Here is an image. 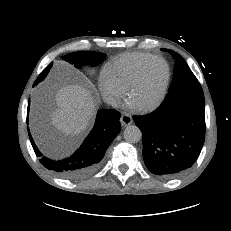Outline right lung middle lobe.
<instances>
[{
    "mask_svg": "<svg viewBox=\"0 0 231 231\" xmlns=\"http://www.w3.org/2000/svg\"><path fill=\"white\" fill-rule=\"evenodd\" d=\"M105 54L99 52H92V51H80L68 54L64 56L63 59L74 64L76 68L81 67L83 64L97 66L103 59ZM53 62L50 63L38 76L37 80L34 83V86L41 82L46 75L48 74L49 70L51 69Z\"/></svg>",
    "mask_w": 231,
    "mask_h": 231,
    "instance_id": "dd1d6c3e",
    "label": "right lung middle lobe"
}]
</instances>
